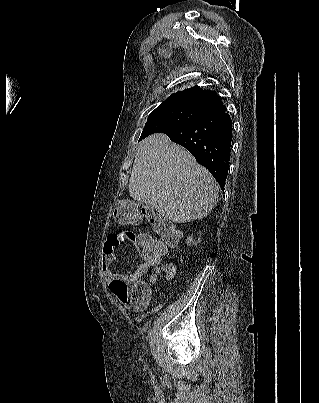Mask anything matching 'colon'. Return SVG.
Instances as JSON below:
<instances>
[{
	"instance_id": "5ec220e1",
	"label": "colon",
	"mask_w": 319,
	"mask_h": 403,
	"mask_svg": "<svg viewBox=\"0 0 319 403\" xmlns=\"http://www.w3.org/2000/svg\"><path fill=\"white\" fill-rule=\"evenodd\" d=\"M145 216L152 229H141L137 236L140 254H146L149 258L159 259L160 254H165L167 245L173 246L179 239L178 230L156 213H143L141 208L134 202L133 197H122L120 205L114 210V219L125 224H138ZM166 271L172 274L171 266ZM153 281L149 283L152 285ZM140 310V309H131Z\"/></svg>"
}]
</instances>
